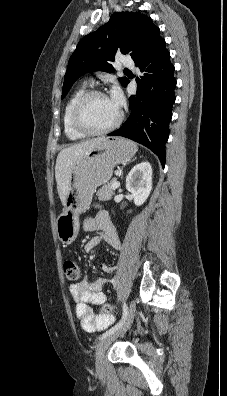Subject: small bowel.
Here are the masks:
<instances>
[{
	"label": "small bowel",
	"instance_id": "c3829d8e",
	"mask_svg": "<svg viewBox=\"0 0 227 396\" xmlns=\"http://www.w3.org/2000/svg\"><path fill=\"white\" fill-rule=\"evenodd\" d=\"M83 228L86 231H101V236H93L84 246L86 252H91L101 242H105L113 249H120L121 242L115 226L108 215L100 211L93 217H87L83 221ZM101 269L105 273H112L113 266L101 264ZM104 279L95 278L73 283L70 285V293L75 306V314L81 326L87 332L101 331L114 322L112 314L95 313L90 305L102 306L107 301L106 294L102 291Z\"/></svg>",
	"mask_w": 227,
	"mask_h": 396
}]
</instances>
